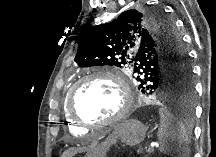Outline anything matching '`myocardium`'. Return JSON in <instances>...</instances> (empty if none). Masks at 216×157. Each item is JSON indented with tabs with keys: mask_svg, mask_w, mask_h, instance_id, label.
<instances>
[{
	"mask_svg": "<svg viewBox=\"0 0 216 157\" xmlns=\"http://www.w3.org/2000/svg\"><path fill=\"white\" fill-rule=\"evenodd\" d=\"M97 78L107 79L113 82L118 87L120 91V97H121L120 98L121 106L118 112L116 113V115H114L110 119L101 120V121H89L83 119L76 113L74 107V96L76 90L82 83L90 79H97ZM131 108H132V95H131L129 84L117 72L109 69L94 70L82 76L72 85L66 101V111L68 117L78 125L87 128L115 125L126 118Z\"/></svg>",
	"mask_w": 216,
	"mask_h": 157,
	"instance_id": "obj_1",
	"label": "myocardium"
}]
</instances>
